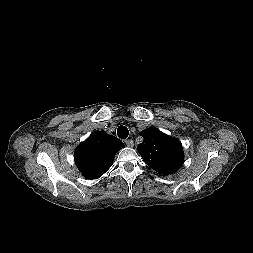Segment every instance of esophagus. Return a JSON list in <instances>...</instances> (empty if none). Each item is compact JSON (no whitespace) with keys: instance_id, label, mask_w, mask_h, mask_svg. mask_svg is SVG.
Returning a JSON list of instances; mask_svg holds the SVG:
<instances>
[{"instance_id":"34e87169","label":"esophagus","mask_w":253,"mask_h":253,"mask_svg":"<svg viewBox=\"0 0 253 253\" xmlns=\"http://www.w3.org/2000/svg\"><path fill=\"white\" fill-rule=\"evenodd\" d=\"M125 144L127 147H133L134 146V141L132 139H127L125 141Z\"/></svg>"}]
</instances>
